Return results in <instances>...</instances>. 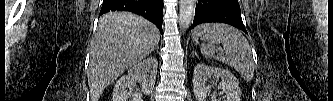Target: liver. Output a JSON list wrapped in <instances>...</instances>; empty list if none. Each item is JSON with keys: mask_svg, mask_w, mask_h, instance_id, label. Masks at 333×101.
I'll use <instances>...</instances> for the list:
<instances>
[{"mask_svg": "<svg viewBox=\"0 0 333 101\" xmlns=\"http://www.w3.org/2000/svg\"><path fill=\"white\" fill-rule=\"evenodd\" d=\"M155 25L130 12H110L99 19L90 48L88 84L91 101L125 70L148 56L158 45Z\"/></svg>", "mask_w": 333, "mask_h": 101, "instance_id": "liver-1", "label": "liver"}]
</instances>
